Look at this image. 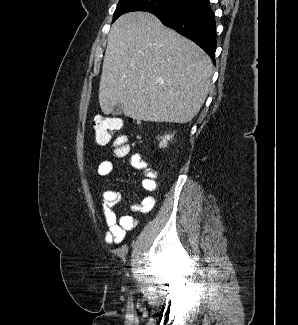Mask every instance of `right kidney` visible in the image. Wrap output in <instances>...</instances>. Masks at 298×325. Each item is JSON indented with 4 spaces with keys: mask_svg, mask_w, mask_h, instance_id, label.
Wrapping results in <instances>:
<instances>
[{
    "mask_svg": "<svg viewBox=\"0 0 298 325\" xmlns=\"http://www.w3.org/2000/svg\"><path fill=\"white\" fill-rule=\"evenodd\" d=\"M174 134H163V136H159V146L160 148H164V146H167L168 140H172Z\"/></svg>",
    "mask_w": 298,
    "mask_h": 325,
    "instance_id": "1",
    "label": "right kidney"
}]
</instances>
